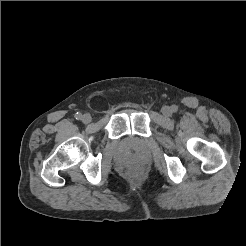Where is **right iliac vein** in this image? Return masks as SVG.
Listing matches in <instances>:
<instances>
[{"label": "right iliac vein", "mask_w": 246, "mask_h": 246, "mask_svg": "<svg viewBox=\"0 0 246 246\" xmlns=\"http://www.w3.org/2000/svg\"><path fill=\"white\" fill-rule=\"evenodd\" d=\"M81 120L83 123L87 124V123L91 122L92 118H91L90 114L86 113L82 116Z\"/></svg>", "instance_id": "right-iliac-vein-1"}]
</instances>
